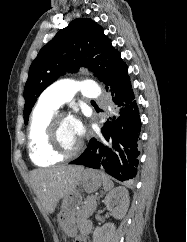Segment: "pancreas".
<instances>
[{
    "label": "pancreas",
    "mask_w": 187,
    "mask_h": 242,
    "mask_svg": "<svg viewBox=\"0 0 187 242\" xmlns=\"http://www.w3.org/2000/svg\"><path fill=\"white\" fill-rule=\"evenodd\" d=\"M96 200H97L96 196L87 197L85 200V205L79 211V215L81 217L91 216L96 210V206H97Z\"/></svg>",
    "instance_id": "pancreas-1"
}]
</instances>
